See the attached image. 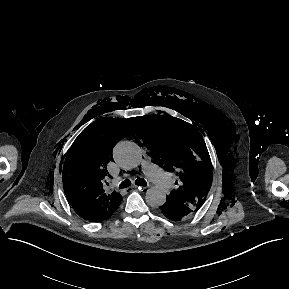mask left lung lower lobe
<instances>
[{"instance_id":"left-lung-lower-lobe-1","label":"left lung lower lobe","mask_w":289,"mask_h":289,"mask_svg":"<svg viewBox=\"0 0 289 289\" xmlns=\"http://www.w3.org/2000/svg\"><path fill=\"white\" fill-rule=\"evenodd\" d=\"M161 213L172 221H179L190 216L194 210L184 204H179L166 200L164 205L159 207Z\"/></svg>"}]
</instances>
